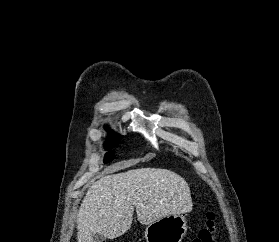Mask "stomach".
Here are the masks:
<instances>
[{
    "label": "stomach",
    "instance_id": "obj_1",
    "mask_svg": "<svg viewBox=\"0 0 279 242\" xmlns=\"http://www.w3.org/2000/svg\"><path fill=\"white\" fill-rule=\"evenodd\" d=\"M187 221L181 214H171L149 224L146 242H181L187 233Z\"/></svg>",
    "mask_w": 279,
    "mask_h": 242
}]
</instances>
